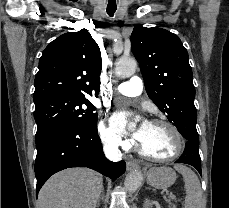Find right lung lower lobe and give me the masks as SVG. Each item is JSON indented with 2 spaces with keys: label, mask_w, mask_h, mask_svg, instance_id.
Wrapping results in <instances>:
<instances>
[{
  "label": "right lung lower lobe",
  "mask_w": 229,
  "mask_h": 208,
  "mask_svg": "<svg viewBox=\"0 0 229 208\" xmlns=\"http://www.w3.org/2000/svg\"><path fill=\"white\" fill-rule=\"evenodd\" d=\"M36 195L54 173L70 167H88L112 181L125 172L124 161L109 162L103 153L97 129L74 124L59 125L36 139Z\"/></svg>",
  "instance_id": "right-lung-lower-lobe-1"
}]
</instances>
